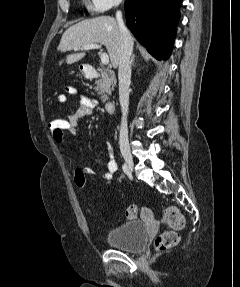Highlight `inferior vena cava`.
I'll return each instance as SVG.
<instances>
[{
  "mask_svg": "<svg viewBox=\"0 0 240 287\" xmlns=\"http://www.w3.org/2000/svg\"><path fill=\"white\" fill-rule=\"evenodd\" d=\"M122 0H116L115 6H118ZM116 20L119 26L121 45L119 52V102L122 111V120L119 135V144L121 148H129L128 140V127H127V115L129 107V87L131 82V60L130 57L133 51V38L126 28L122 12H116Z\"/></svg>",
  "mask_w": 240,
  "mask_h": 287,
  "instance_id": "1",
  "label": "inferior vena cava"
}]
</instances>
